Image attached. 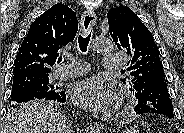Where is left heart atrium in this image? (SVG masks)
<instances>
[{
    "label": "left heart atrium",
    "mask_w": 184,
    "mask_h": 133,
    "mask_svg": "<svg viewBox=\"0 0 184 133\" xmlns=\"http://www.w3.org/2000/svg\"><path fill=\"white\" fill-rule=\"evenodd\" d=\"M72 98L74 103L82 108L104 111L114 100V89L98 78H87L73 85Z\"/></svg>",
    "instance_id": "39dd6f15"
}]
</instances>
